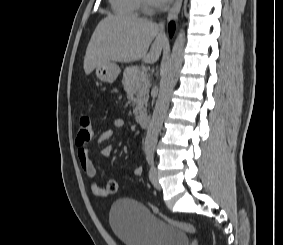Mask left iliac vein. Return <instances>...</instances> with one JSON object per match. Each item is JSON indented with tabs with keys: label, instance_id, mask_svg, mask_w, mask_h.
I'll return each instance as SVG.
<instances>
[{
	"label": "left iliac vein",
	"instance_id": "obj_1",
	"mask_svg": "<svg viewBox=\"0 0 283 245\" xmlns=\"http://www.w3.org/2000/svg\"><path fill=\"white\" fill-rule=\"evenodd\" d=\"M149 179L152 183V185L157 189L161 190V185L158 181V174H157V168L152 165L149 171Z\"/></svg>",
	"mask_w": 283,
	"mask_h": 245
}]
</instances>
